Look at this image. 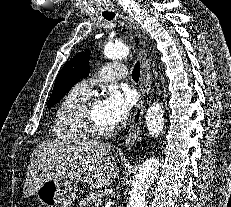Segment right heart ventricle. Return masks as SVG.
I'll return each mask as SVG.
<instances>
[{
	"label": "right heart ventricle",
	"mask_w": 231,
	"mask_h": 207,
	"mask_svg": "<svg viewBox=\"0 0 231 207\" xmlns=\"http://www.w3.org/2000/svg\"><path fill=\"white\" fill-rule=\"evenodd\" d=\"M88 94L78 86L61 100L54 117L53 136L65 142H80L88 138L78 121V111Z\"/></svg>",
	"instance_id": "1"
}]
</instances>
